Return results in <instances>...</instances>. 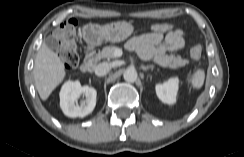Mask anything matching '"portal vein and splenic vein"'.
Returning a JSON list of instances; mask_svg holds the SVG:
<instances>
[{
	"instance_id": "portal-vein-and-splenic-vein-1",
	"label": "portal vein and splenic vein",
	"mask_w": 244,
	"mask_h": 157,
	"mask_svg": "<svg viewBox=\"0 0 244 157\" xmlns=\"http://www.w3.org/2000/svg\"><path fill=\"white\" fill-rule=\"evenodd\" d=\"M123 54L122 49L117 48L114 52L115 57H121Z\"/></svg>"
}]
</instances>
